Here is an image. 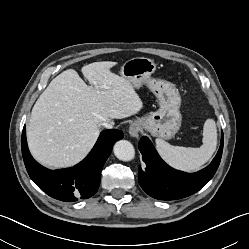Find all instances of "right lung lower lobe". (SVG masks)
<instances>
[{"label":"right lung lower lobe","mask_w":249,"mask_h":249,"mask_svg":"<svg viewBox=\"0 0 249 249\" xmlns=\"http://www.w3.org/2000/svg\"><path fill=\"white\" fill-rule=\"evenodd\" d=\"M122 138V131H102L95 146L82 162L71 168L52 171L37 163L31 156L24 126L21 139L22 155L30 178L41 190L55 199L73 202L87 199L97 192L103 165L114 143Z\"/></svg>","instance_id":"98d812e1"}]
</instances>
